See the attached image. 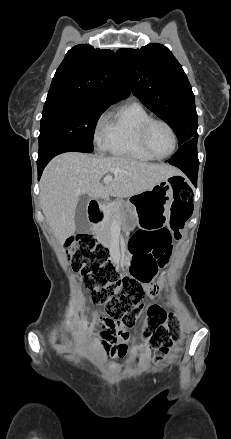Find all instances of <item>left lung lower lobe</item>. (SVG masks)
<instances>
[{
    "instance_id": "obj_1",
    "label": "left lung lower lobe",
    "mask_w": 231,
    "mask_h": 439,
    "mask_svg": "<svg viewBox=\"0 0 231 439\" xmlns=\"http://www.w3.org/2000/svg\"><path fill=\"white\" fill-rule=\"evenodd\" d=\"M167 162L181 169L196 186L199 167L197 138L190 139L182 144Z\"/></svg>"
}]
</instances>
